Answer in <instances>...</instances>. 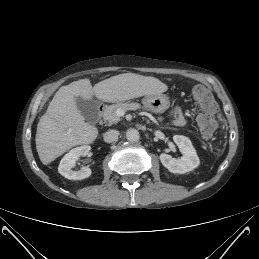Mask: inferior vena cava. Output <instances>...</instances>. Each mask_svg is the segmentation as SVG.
Masks as SVG:
<instances>
[{
    "mask_svg": "<svg viewBox=\"0 0 259 259\" xmlns=\"http://www.w3.org/2000/svg\"><path fill=\"white\" fill-rule=\"evenodd\" d=\"M119 131L117 130H109L103 134V139L107 143H111L118 139Z\"/></svg>",
    "mask_w": 259,
    "mask_h": 259,
    "instance_id": "obj_1",
    "label": "inferior vena cava"
}]
</instances>
